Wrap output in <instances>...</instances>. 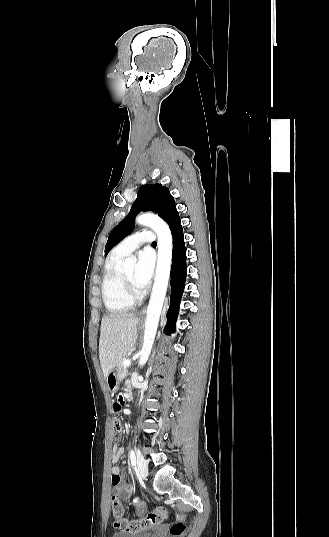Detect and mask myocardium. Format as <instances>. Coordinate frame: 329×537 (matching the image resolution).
Instances as JSON below:
<instances>
[{"mask_svg":"<svg viewBox=\"0 0 329 537\" xmlns=\"http://www.w3.org/2000/svg\"><path fill=\"white\" fill-rule=\"evenodd\" d=\"M121 281L124 292L127 297L132 301L138 300L140 298V294L133 288V286L130 284L124 274H121Z\"/></svg>","mask_w":329,"mask_h":537,"instance_id":"obj_1","label":"myocardium"}]
</instances>
